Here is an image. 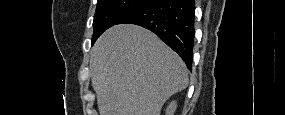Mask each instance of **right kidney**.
<instances>
[{"instance_id": "1", "label": "right kidney", "mask_w": 285, "mask_h": 115, "mask_svg": "<svg viewBox=\"0 0 285 115\" xmlns=\"http://www.w3.org/2000/svg\"><path fill=\"white\" fill-rule=\"evenodd\" d=\"M177 108V103L176 102H171L169 106L166 109V115H173L175 110Z\"/></svg>"}]
</instances>
